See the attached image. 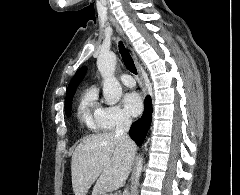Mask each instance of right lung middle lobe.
Listing matches in <instances>:
<instances>
[{
    "instance_id": "dd1d6c3e",
    "label": "right lung middle lobe",
    "mask_w": 240,
    "mask_h": 195,
    "mask_svg": "<svg viewBox=\"0 0 240 195\" xmlns=\"http://www.w3.org/2000/svg\"><path fill=\"white\" fill-rule=\"evenodd\" d=\"M71 106H72V103H69L65 109H66V115L67 116H70L71 115Z\"/></svg>"
}]
</instances>
